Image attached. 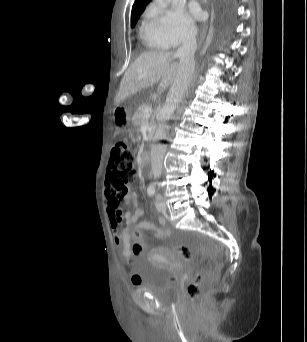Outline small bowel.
Instances as JSON below:
<instances>
[{
    "label": "small bowel",
    "instance_id": "c3829d8e",
    "mask_svg": "<svg viewBox=\"0 0 307 342\" xmlns=\"http://www.w3.org/2000/svg\"><path fill=\"white\" fill-rule=\"evenodd\" d=\"M107 194V193H106ZM128 203L134 205V211H126L120 214L113 211L111 207H109V220L110 226L112 230L113 242L116 246L121 248V253L124 257L127 258V255H138L140 253H128L127 252V240L129 229H142V233L144 230L153 231V237L155 241L161 242L164 241L169 236V229L165 226V221L163 218H160L159 222L161 227H156L153 223L149 221H142L141 218L143 216V211L136 204V195L134 193L130 194L127 197ZM125 221L126 225L123 228H120V223Z\"/></svg>",
    "mask_w": 307,
    "mask_h": 342
}]
</instances>
